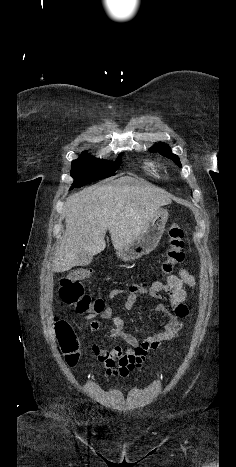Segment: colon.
Listing matches in <instances>:
<instances>
[{
	"instance_id": "1",
	"label": "colon",
	"mask_w": 236,
	"mask_h": 467,
	"mask_svg": "<svg viewBox=\"0 0 236 467\" xmlns=\"http://www.w3.org/2000/svg\"><path fill=\"white\" fill-rule=\"evenodd\" d=\"M168 248L164 259L160 264L163 275H170L175 267L184 260V231L178 223H172L168 227ZM91 268H78L60 281L59 296L61 301L73 307L79 314H100L106 308L101 298H92L85 293L82 281L91 277ZM56 336L66 363L75 366L80 357L81 341L73 327L65 320H57L55 323Z\"/></svg>"
}]
</instances>
